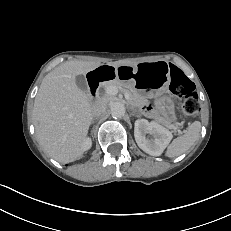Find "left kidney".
Masks as SVG:
<instances>
[{
    "mask_svg": "<svg viewBox=\"0 0 231 231\" xmlns=\"http://www.w3.org/2000/svg\"><path fill=\"white\" fill-rule=\"evenodd\" d=\"M147 134H151L154 138L148 139ZM134 136L138 146L152 156H160L172 139L168 129L154 121L148 122L146 119L135 121Z\"/></svg>",
    "mask_w": 231,
    "mask_h": 231,
    "instance_id": "5707ae66",
    "label": "left kidney"
}]
</instances>
